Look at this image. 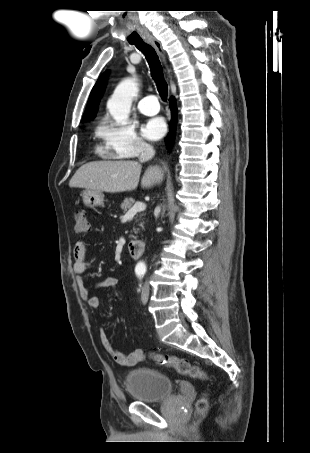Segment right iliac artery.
<instances>
[{
    "label": "right iliac artery",
    "mask_w": 310,
    "mask_h": 453,
    "mask_svg": "<svg viewBox=\"0 0 310 453\" xmlns=\"http://www.w3.org/2000/svg\"><path fill=\"white\" fill-rule=\"evenodd\" d=\"M144 273L143 272H137L138 276H142Z\"/></svg>",
    "instance_id": "1"
}]
</instances>
